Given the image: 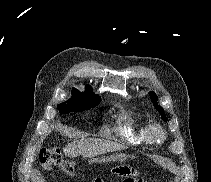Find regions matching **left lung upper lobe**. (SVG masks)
Returning <instances> with one entry per match:
<instances>
[{"instance_id": "1", "label": "left lung upper lobe", "mask_w": 211, "mask_h": 182, "mask_svg": "<svg viewBox=\"0 0 211 182\" xmlns=\"http://www.w3.org/2000/svg\"><path fill=\"white\" fill-rule=\"evenodd\" d=\"M149 95L151 97V100H152L155 108L159 111V113L161 114V116L164 119V121H166V116H165V113L163 112V108L157 104V96H156V94L153 91H151V92H149Z\"/></svg>"}]
</instances>
